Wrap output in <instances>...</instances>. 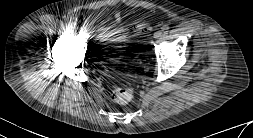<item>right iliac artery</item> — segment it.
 Segmentation results:
<instances>
[{
    "label": "right iliac artery",
    "mask_w": 253,
    "mask_h": 138,
    "mask_svg": "<svg viewBox=\"0 0 253 138\" xmlns=\"http://www.w3.org/2000/svg\"><path fill=\"white\" fill-rule=\"evenodd\" d=\"M69 28L72 30V31H75V29L77 28V26L74 24V23H71L69 25Z\"/></svg>",
    "instance_id": "right-iliac-artery-1"
}]
</instances>
